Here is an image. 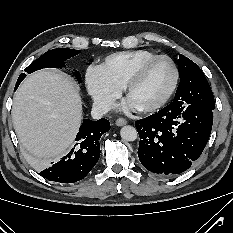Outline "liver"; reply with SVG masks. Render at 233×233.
<instances>
[{
	"label": "liver",
	"mask_w": 233,
	"mask_h": 233,
	"mask_svg": "<svg viewBox=\"0 0 233 233\" xmlns=\"http://www.w3.org/2000/svg\"><path fill=\"white\" fill-rule=\"evenodd\" d=\"M12 118L21 145L33 156L59 157L73 143L81 125L79 89L65 74L35 72L18 88Z\"/></svg>",
	"instance_id": "obj_1"
}]
</instances>
